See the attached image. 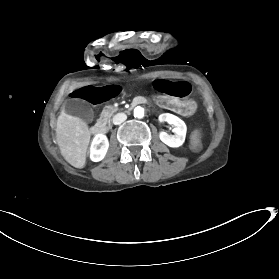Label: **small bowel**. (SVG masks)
Here are the masks:
<instances>
[{
	"label": "small bowel",
	"mask_w": 279,
	"mask_h": 279,
	"mask_svg": "<svg viewBox=\"0 0 279 279\" xmlns=\"http://www.w3.org/2000/svg\"><path fill=\"white\" fill-rule=\"evenodd\" d=\"M152 86L159 93L177 98H185L192 91L190 83L183 79L160 77L152 81Z\"/></svg>",
	"instance_id": "c3829d8e"
}]
</instances>
